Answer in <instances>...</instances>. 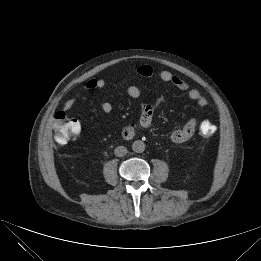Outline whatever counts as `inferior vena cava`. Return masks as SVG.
I'll return each mask as SVG.
<instances>
[{"label": "inferior vena cava", "mask_w": 261, "mask_h": 261, "mask_svg": "<svg viewBox=\"0 0 261 261\" xmlns=\"http://www.w3.org/2000/svg\"><path fill=\"white\" fill-rule=\"evenodd\" d=\"M114 154L117 157H123L127 154V149L124 146H118V147L115 148Z\"/></svg>", "instance_id": "inferior-vena-cava-1"}]
</instances>
